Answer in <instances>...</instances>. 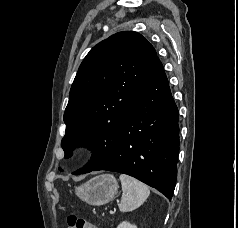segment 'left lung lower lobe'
<instances>
[{"mask_svg": "<svg viewBox=\"0 0 238 228\" xmlns=\"http://www.w3.org/2000/svg\"><path fill=\"white\" fill-rule=\"evenodd\" d=\"M179 113L159 58L118 132L112 157L84 173L114 171L137 178L171 198L179 153ZM74 173V174H84Z\"/></svg>", "mask_w": 238, "mask_h": 228, "instance_id": "left-lung-lower-lobe-1", "label": "left lung lower lobe"}]
</instances>
